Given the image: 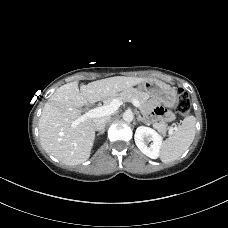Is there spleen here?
I'll list each match as a JSON object with an SVG mask.
<instances>
[{
  "mask_svg": "<svg viewBox=\"0 0 228 228\" xmlns=\"http://www.w3.org/2000/svg\"><path fill=\"white\" fill-rule=\"evenodd\" d=\"M196 134V118L186 116L173 134L167 138L161 147L160 159L170 163L180 158L192 144Z\"/></svg>",
  "mask_w": 228,
  "mask_h": 228,
  "instance_id": "spleen-1",
  "label": "spleen"
}]
</instances>
